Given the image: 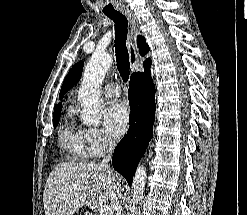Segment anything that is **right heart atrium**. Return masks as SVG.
Segmentation results:
<instances>
[{
	"label": "right heart atrium",
	"mask_w": 247,
	"mask_h": 215,
	"mask_svg": "<svg viewBox=\"0 0 247 215\" xmlns=\"http://www.w3.org/2000/svg\"><path fill=\"white\" fill-rule=\"evenodd\" d=\"M91 157H99L114 148L115 138L104 128L83 129Z\"/></svg>",
	"instance_id": "right-heart-atrium-1"
}]
</instances>
